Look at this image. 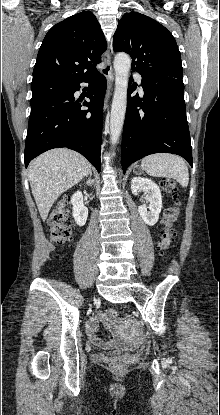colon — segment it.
<instances>
[{"label":"colon","instance_id":"1","mask_svg":"<svg viewBox=\"0 0 220 415\" xmlns=\"http://www.w3.org/2000/svg\"><path fill=\"white\" fill-rule=\"evenodd\" d=\"M162 188L173 197H176V185L172 179L163 178L161 181ZM71 207L70 199H61L49 217L50 238L57 245H64L72 238L73 229L69 223V209ZM180 212V202L175 199L174 206L165 210L161 221V236L158 241V247L161 251H167L173 242V224L177 220ZM106 315L110 320L116 319L118 312L115 308H108ZM114 369L122 370L125 363L116 360L111 363Z\"/></svg>","mask_w":220,"mask_h":415}]
</instances>
